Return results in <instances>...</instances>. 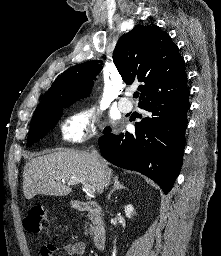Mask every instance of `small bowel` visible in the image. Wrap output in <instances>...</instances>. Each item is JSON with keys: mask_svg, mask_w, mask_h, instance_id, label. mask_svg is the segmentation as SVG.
Instances as JSON below:
<instances>
[{"mask_svg": "<svg viewBox=\"0 0 221 256\" xmlns=\"http://www.w3.org/2000/svg\"><path fill=\"white\" fill-rule=\"evenodd\" d=\"M64 251L71 256H83L86 251V245L82 241H74L65 244ZM57 247L53 244H46L41 249V256H54Z\"/></svg>", "mask_w": 221, "mask_h": 256, "instance_id": "small-bowel-1", "label": "small bowel"}]
</instances>
